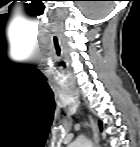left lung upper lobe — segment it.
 I'll return each instance as SVG.
<instances>
[{
  "instance_id": "left-lung-upper-lobe-1",
  "label": "left lung upper lobe",
  "mask_w": 140,
  "mask_h": 147,
  "mask_svg": "<svg viewBox=\"0 0 140 147\" xmlns=\"http://www.w3.org/2000/svg\"><path fill=\"white\" fill-rule=\"evenodd\" d=\"M100 127H101V130H102V124L100 123Z\"/></svg>"
}]
</instances>
